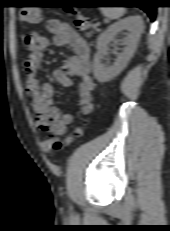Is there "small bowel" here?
Here are the masks:
<instances>
[{"label": "small bowel", "instance_id": "c3829d8e", "mask_svg": "<svg viewBox=\"0 0 170 231\" xmlns=\"http://www.w3.org/2000/svg\"><path fill=\"white\" fill-rule=\"evenodd\" d=\"M47 29L53 34L55 45L68 46L73 51L63 69L54 71V78L65 87L73 84L72 78L78 79V105L81 114L87 115L94 108L92 91L95 87L90 76V48L85 39L65 22L52 19L47 23ZM49 45L48 38L37 34H29L24 38V46L29 51L24 64L25 86L31 99L36 127L44 132L63 135L73 121V114L62 113L54 105L53 86L38 78L44 50Z\"/></svg>", "mask_w": 170, "mask_h": 231}]
</instances>
